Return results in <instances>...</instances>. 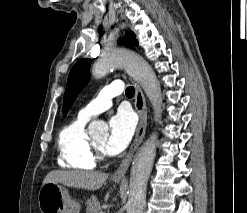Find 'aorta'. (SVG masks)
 <instances>
[{
  "mask_svg": "<svg viewBox=\"0 0 247 213\" xmlns=\"http://www.w3.org/2000/svg\"><path fill=\"white\" fill-rule=\"evenodd\" d=\"M124 68L141 85L150 100L155 118L160 117L161 87L150 65L138 54L127 49H114L104 52L93 66L96 79L107 75L112 68ZM107 130V125L98 120L89 124V134L96 135ZM156 135L151 136L139 148L131 168L127 213H143L146 204L147 181L156 156Z\"/></svg>",
  "mask_w": 247,
  "mask_h": 213,
  "instance_id": "aorta-1",
  "label": "aorta"
}]
</instances>
